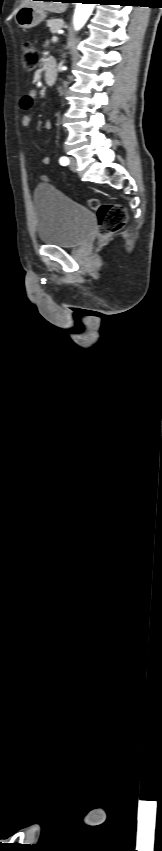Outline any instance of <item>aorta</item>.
I'll use <instances>...</instances> for the list:
<instances>
[{
  "instance_id": "obj_1",
  "label": "aorta",
  "mask_w": 162,
  "mask_h": 851,
  "mask_svg": "<svg viewBox=\"0 0 162 851\" xmlns=\"http://www.w3.org/2000/svg\"><path fill=\"white\" fill-rule=\"evenodd\" d=\"M93 8L94 4L91 3H77L73 19L75 30H80L84 26Z\"/></svg>"
}]
</instances>
